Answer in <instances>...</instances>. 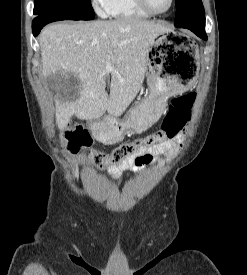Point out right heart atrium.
<instances>
[{
  "label": "right heart atrium",
  "mask_w": 247,
  "mask_h": 275,
  "mask_svg": "<svg viewBox=\"0 0 247 275\" xmlns=\"http://www.w3.org/2000/svg\"><path fill=\"white\" fill-rule=\"evenodd\" d=\"M90 2L99 16L105 17L108 15L110 0H91Z\"/></svg>",
  "instance_id": "d8ad5b80"
}]
</instances>
